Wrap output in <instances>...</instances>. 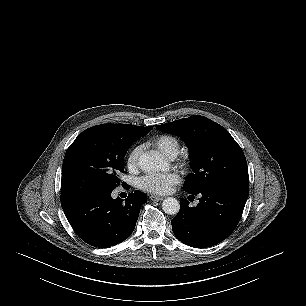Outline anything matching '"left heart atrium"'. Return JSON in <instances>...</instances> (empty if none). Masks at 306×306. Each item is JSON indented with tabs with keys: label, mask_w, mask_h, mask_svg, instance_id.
<instances>
[{
	"label": "left heart atrium",
	"mask_w": 306,
	"mask_h": 306,
	"mask_svg": "<svg viewBox=\"0 0 306 306\" xmlns=\"http://www.w3.org/2000/svg\"><path fill=\"white\" fill-rule=\"evenodd\" d=\"M180 182V176L176 172L165 174H146L139 179V187L153 194H166Z\"/></svg>",
	"instance_id": "39dd6f15"
}]
</instances>
